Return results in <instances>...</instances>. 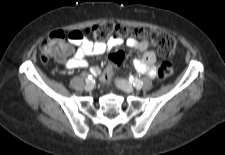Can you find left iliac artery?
Returning <instances> with one entry per match:
<instances>
[{"label": "left iliac artery", "instance_id": "obj_1", "mask_svg": "<svg viewBox=\"0 0 225 155\" xmlns=\"http://www.w3.org/2000/svg\"><path fill=\"white\" fill-rule=\"evenodd\" d=\"M129 81H130V83L133 84L134 87H136L137 89H141V88H142L143 83H142L139 79L134 78L133 76H130V77H129Z\"/></svg>", "mask_w": 225, "mask_h": 155}]
</instances>
